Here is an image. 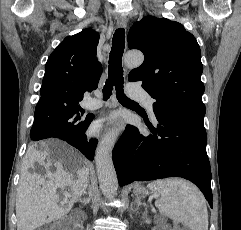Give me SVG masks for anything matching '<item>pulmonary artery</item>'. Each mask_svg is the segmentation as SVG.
Instances as JSON below:
<instances>
[{
    "label": "pulmonary artery",
    "mask_w": 241,
    "mask_h": 230,
    "mask_svg": "<svg viewBox=\"0 0 241 230\" xmlns=\"http://www.w3.org/2000/svg\"><path fill=\"white\" fill-rule=\"evenodd\" d=\"M127 92L130 98L140 101L147 109L153 114V98L144 92L138 85L129 83L127 85ZM103 105L102 101L98 98H91L87 103L86 107L91 110L100 108Z\"/></svg>",
    "instance_id": "obj_1"
}]
</instances>
